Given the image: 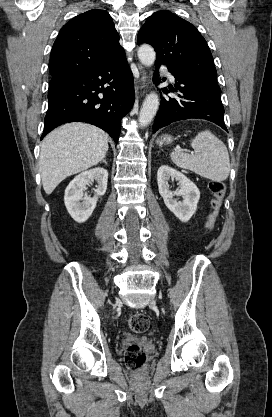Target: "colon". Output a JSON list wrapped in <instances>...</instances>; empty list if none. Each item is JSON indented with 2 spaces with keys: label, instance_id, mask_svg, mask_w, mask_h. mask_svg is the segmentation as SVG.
Wrapping results in <instances>:
<instances>
[{
  "label": "colon",
  "instance_id": "obj_1",
  "mask_svg": "<svg viewBox=\"0 0 272 417\" xmlns=\"http://www.w3.org/2000/svg\"><path fill=\"white\" fill-rule=\"evenodd\" d=\"M209 189L213 194V199L211 201V212L204 224V229L207 232L211 231L214 227L219 210L222 206L226 186L221 181H212L209 184ZM127 323L129 329L136 333H143L149 327L148 318L141 313L132 314L128 318ZM125 362L132 371L137 372L146 362V353L139 344H131L126 350Z\"/></svg>",
  "mask_w": 272,
  "mask_h": 417
}]
</instances>
